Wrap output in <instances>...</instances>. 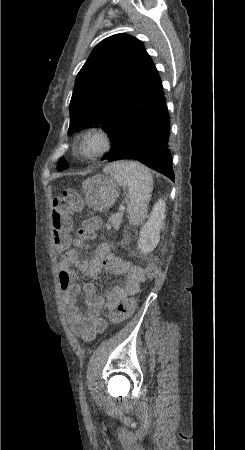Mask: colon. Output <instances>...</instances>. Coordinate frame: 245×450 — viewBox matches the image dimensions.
Here are the masks:
<instances>
[{"instance_id":"5ec220e1","label":"colon","mask_w":245,"mask_h":450,"mask_svg":"<svg viewBox=\"0 0 245 450\" xmlns=\"http://www.w3.org/2000/svg\"><path fill=\"white\" fill-rule=\"evenodd\" d=\"M52 206L50 230L58 255L67 253L71 247L80 246L95 239L101 225L99 217L95 214H89L76 233H72L73 214L87 206V200L82 193L75 189H66L60 196L53 199ZM157 273V262H149L144 267L143 274L146 278H154ZM136 305L135 297L128 298L120 302L115 311H108L106 316L113 323L121 322L134 312Z\"/></svg>"}]
</instances>
